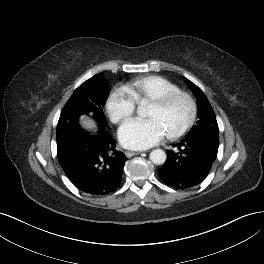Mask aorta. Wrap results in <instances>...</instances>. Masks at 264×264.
<instances>
[{
	"instance_id": "1",
	"label": "aorta",
	"mask_w": 264,
	"mask_h": 264,
	"mask_svg": "<svg viewBox=\"0 0 264 264\" xmlns=\"http://www.w3.org/2000/svg\"><path fill=\"white\" fill-rule=\"evenodd\" d=\"M144 106L143 105H139L137 108V113L142 116L144 115ZM166 153L162 150V149H154L151 153H150V160L156 164V165H162L165 163L166 161Z\"/></svg>"
}]
</instances>
